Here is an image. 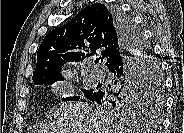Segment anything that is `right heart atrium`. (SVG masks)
I'll use <instances>...</instances> for the list:
<instances>
[{
	"label": "right heart atrium",
	"mask_w": 184,
	"mask_h": 133,
	"mask_svg": "<svg viewBox=\"0 0 184 133\" xmlns=\"http://www.w3.org/2000/svg\"><path fill=\"white\" fill-rule=\"evenodd\" d=\"M52 90L56 96H62L65 93V86L63 83H56L52 86Z\"/></svg>",
	"instance_id": "d8ad5b80"
}]
</instances>
